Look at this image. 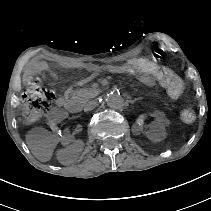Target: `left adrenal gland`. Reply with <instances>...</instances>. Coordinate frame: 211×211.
Returning a JSON list of instances; mask_svg holds the SVG:
<instances>
[{"instance_id": "a2214340", "label": "left adrenal gland", "mask_w": 211, "mask_h": 211, "mask_svg": "<svg viewBox=\"0 0 211 211\" xmlns=\"http://www.w3.org/2000/svg\"><path fill=\"white\" fill-rule=\"evenodd\" d=\"M142 99L141 97L139 98H135L134 100L131 101V103L133 104L135 101Z\"/></svg>"}]
</instances>
